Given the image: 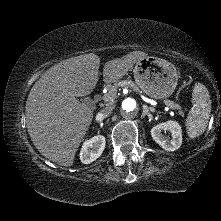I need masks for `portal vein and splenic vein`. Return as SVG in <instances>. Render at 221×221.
<instances>
[{"label":"portal vein and splenic vein","mask_w":221,"mask_h":221,"mask_svg":"<svg viewBox=\"0 0 221 221\" xmlns=\"http://www.w3.org/2000/svg\"><path fill=\"white\" fill-rule=\"evenodd\" d=\"M134 90H135V89H134ZM164 104H165L167 107H169V108L173 109L172 105H171L169 102L164 101Z\"/></svg>","instance_id":"portal-vein-and-splenic-vein-1"}]
</instances>
